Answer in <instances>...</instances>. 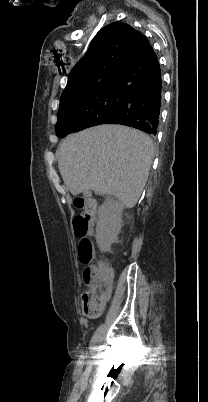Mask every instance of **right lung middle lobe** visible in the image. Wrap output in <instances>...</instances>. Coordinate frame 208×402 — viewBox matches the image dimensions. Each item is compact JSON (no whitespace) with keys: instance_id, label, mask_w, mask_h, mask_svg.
<instances>
[{"instance_id":"1","label":"right lung middle lobe","mask_w":208,"mask_h":402,"mask_svg":"<svg viewBox=\"0 0 208 402\" xmlns=\"http://www.w3.org/2000/svg\"><path fill=\"white\" fill-rule=\"evenodd\" d=\"M117 87L113 81L100 82L61 96L57 125L63 121L76 120L113 111L118 104Z\"/></svg>"}]
</instances>
